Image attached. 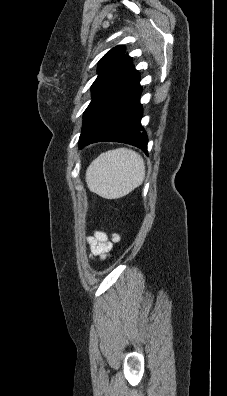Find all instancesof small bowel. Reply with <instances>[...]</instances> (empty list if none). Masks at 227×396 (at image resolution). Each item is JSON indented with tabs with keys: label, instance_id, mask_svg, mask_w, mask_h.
Returning <instances> with one entry per match:
<instances>
[{
	"label": "small bowel",
	"instance_id": "obj_1",
	"mask_svg": "<svg viewBox=\"0 0 227 396\" xmlns=\"http://www.w3.org/2000/svg\"><path fill=\"white\" fill-rule=\"evenodd\" d=\"M119 241V236L114 235L112 241L102 231H95L87 238L90 256L104 259L113 248V243Z\"/></svg>",
	"mask_w": 227,
	"mask_h": 396
}]
</instances>
